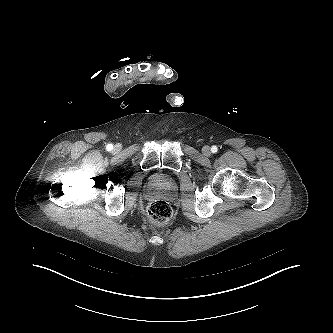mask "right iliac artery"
Instances as JSON below:
<instances>
[{
	"instance_id": "1",
	"label": "right iliac artery",
	"mask_w": 333,
	"mask_h": 333,
	"mask_svg": "<svg viewBox=\"0 0 333 333\" xmlns=\"http://www.w3.org/2000/svg\"><path fill=\"white\" fill-rule=\"evenodd\" d=\"M106 148H107L108 151H111L113 149V145L112 144H108Z\"/></svg>"
}]
</instances>
